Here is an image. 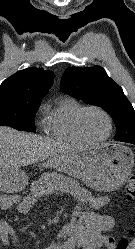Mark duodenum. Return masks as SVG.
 <instances>
[{
  "mask_svg": "<svg viewBox=\"0 0 135 249\" xmlns=\"http://www.w3.org/2000/svg\"><path fill=\"white\" fill-rule=\"evenodd\" d=\"M74 246L81 249H89V245L85 243V239L76 235L68 237L64 242V249H71Z\"/></svg>",
  "mask_w": 135,
  "mask_h": 249,
  "instance_id": "1",
  "label": "duodenum"
}]
</instances>
